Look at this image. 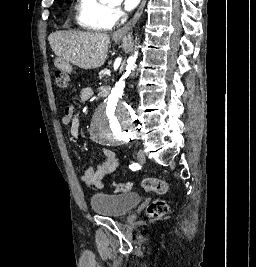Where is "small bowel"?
I'll use <instances>...</instances> for the list:
<instances>
[{
	"mask_svg": "<svg viewBox=\"0 0 256 267\" xmlns=\"http://www.w3.org/2000/svg\"><path fill=\"white\" fill-rule=\"evenodd\" d=\"M94 90L91 87H85L80 92V99L88 101L92 98ZM62 124L70 128L73 138H80L79 123L76 118V110L73 106H69L65 110L62 118ZM104 158L95 166H87L80 173V180L83 184L90 188H101L104 181L113 175L120 166V158L117 153L109 148L103 149Z\"/></svg>",
	"mask_w": 256,
	"mask_h": 267,
	"instance_id": "small-bowel-1",
	"label": "small bowel"
}]
</instances>
